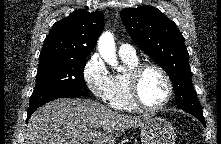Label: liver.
Here are the masks:
<instances>
[{
  "label": "liver",
  "instance_id": "liver-1",
  "mask_svg": "<svg viewBox=\"0 0 221 144\" xmlns=\"http://www.w3.org/2000/svg\"><path fill=\"white\" fill-rule=\"evenodd\" d=\"M149 115H124L86 99H57L38 108L24 132L25 144H115L128 128H137Z\"/></svg>",
  "mask_w": 221,
  "mask_h": 144
}]
</instances>
